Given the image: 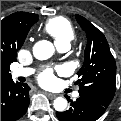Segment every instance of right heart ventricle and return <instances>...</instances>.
<instances>
[{
    "label": "right heart ventricle",
    "mask_w": 121,
    "mask_h": 121,
    "mask_svg": "<svg viewBox=\"0 0 121 121\" xmlns=\"http://www.w3.org/2000/svg\"><path fill=\"white\" fill-rule=\"evenodd\" d=\"M44 31L55 41L57 47L70 45L75 37V31L71 23L62 17L48 20L44 25Z\"/></svg>",
    "instance_id": "e07e8e85"
}]
</instances>
